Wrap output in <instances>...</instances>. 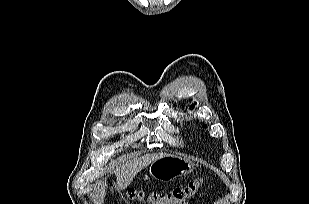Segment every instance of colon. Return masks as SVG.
I'll return each mask as SVG.
<instances>
[{
  "instance_id": "5ec220e1",
  "label": "colon",
  "mask_w": 309,
  "mask_h": 204,
  "mask_svg": "<svg viewBox=\"0 0 309 204\" xmlns=\"http://www.w3.org/2000/svg\"><path fill=\"white\" fill-rule=\"evenodd\" d=\"M202 184V179L197 178L185 186L176 188L171 192L152 193L148 195V199L153 204H187L188 201L192 200L198 195ZM128 197L136 201H141L146 198L144 193L136 190H130L128 192Z\"/></svg>"
}]
</instances>
